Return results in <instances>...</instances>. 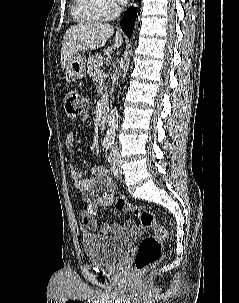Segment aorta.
<instances>
[{
  "mask_svg": "<svg viewBox=\"0 0 239 303\" xmlns=\"http://www.w3.org/2000/svg\"><path fill=\"white\" fill-rule=\"evenodd\" d=\"M119 123V114L116 107L112 108L107 118V132L105 139L108 141H114L116 136V130Z\"/></svg>",
  "mask_w": 239,
  "mask_h": 303,
  "instance_id": "762f6f07",
  "label": "aorta"
}]
</instances>
